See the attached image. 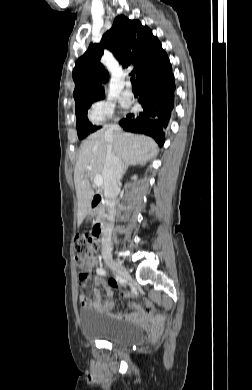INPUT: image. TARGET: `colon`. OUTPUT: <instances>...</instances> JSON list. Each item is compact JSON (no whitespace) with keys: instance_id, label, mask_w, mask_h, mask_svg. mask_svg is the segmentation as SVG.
<instances>
[{"instance_id":"obj_1","label":"colon","mask_w":252,"mask_h":390,"mask_svg":"<svg viewBox=\"0 0 252 390\" xmlns=\"http://www.w3.org/2000/svg\"><path fill=\"white\" fill-rule=\"evenodd\" d=\"M97 233L94 229L75 239V259L79 267H82L88 260L94 257L98 251ZM87 278L85 272L80 273V279Z\"/></svg>"}]
</instances>
